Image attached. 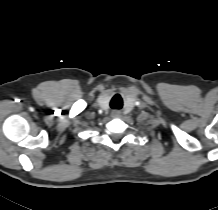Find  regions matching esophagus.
<instances>
[{
	"label": "esophagus",
	"instance_id": "obj_1",
	"mask_svg": "<svg viewBox=\"0 0 218 210\" xmlns=\"http://www.w3.org/2000/svg\"><path fill=\"white\" fill-rule=\"evenodd\" d=\"M112 115L115 116V117H118V116H120V111L114 110L112 112Z\"/></svg>",
	"mask_w": 218,
	"mask_h": 210
}]
</instances>
